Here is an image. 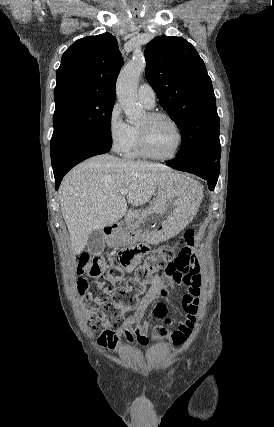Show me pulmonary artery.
<instances>
[{
  "mask_svg": "<svg viewBox=\"0 0 274 427\" xmlns=\"http://www.w3.org/2000/svg\"><path fill=\"white\" fill-rule=\"evenodd\" d=\"M138 100L148 110L155 107V92L148 83H141L138 88Z\"/></svg>",
  "mask_w": 274,
  "mask_h": 427,
  "instance_id": "1",
  "label": "pulmonary artery"
}]
</instances>
